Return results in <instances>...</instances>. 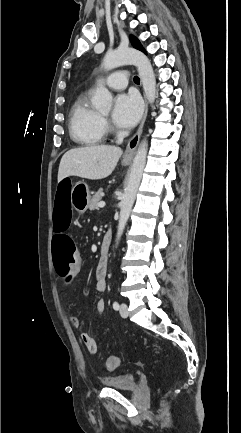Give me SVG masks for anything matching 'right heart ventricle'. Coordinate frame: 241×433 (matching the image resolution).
<instances>
[{
	"label": "right heart ventricle",
	"instance_id": "e07e8e85",
	"mask_svg": "<svg viewBox=\"0 0 241 433\" xmlns=\"http://www.w3.org/2000/svg\"><path fill=\"white\" fill-rule=\"evenodd\" d=\"M69 131L72 140L81 145H97L106 139L103 119L90 105L87 94H81L72 105Z\"/></svg>",
	"mask_w": 241,
	"mask_h": 433
}]
</instances>
